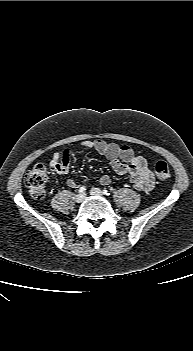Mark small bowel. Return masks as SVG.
Returning a JSON list of instances; mask_svg holds the SVG:
<instances>
[{
    "label": "small bowel",
    "instance_id": "small-bowel-1",
    "mask_svg": "<svg viewBox=\"0 0 193 351\" xmlns=\"http://www.w3.org/2000/svg\"><path fill=\"white\" fill-rule=\"evenodd\" d=\"M85 148L93 149L104 156L110 162L112 169L118 175L128 177L136 189L150 191L154 187L153 173L144 157L135 154L127 145H118L101 139L75 142L71 150L63 147L59 152L54 153L50 161L53 176L67 174L70 170L72 153L80 156ZM99 182L107 186L111 183V177L102 175ZM66 183L71 188L79 185L75 179H68Z\"/></svg>",
    "mask_w": 193,
    "mask_h": 351
}]
</instances>
